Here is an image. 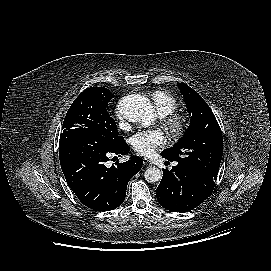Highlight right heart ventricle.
Instances as JSON below:
<instances>
[{
    "instance_id": "obj_1",
    "label": "right heart ventricle",
    "mask_w": 271,
    "mask_h": 271,
    "mask_svg": "<svg viewBox=\"0 0 271 271\" xmlns=\"http://www.w3.org/2000/svg\"><path fill=\"white\" fill-rule=\"evenodd\" d=\"M153 100H154L157 111L161 115L170 114L174 112L178 107V103L176 99L164 91L154 92Z\"/></svg>"
}]
</instances>
